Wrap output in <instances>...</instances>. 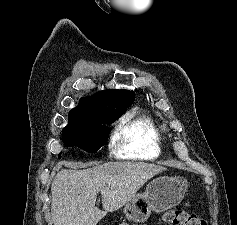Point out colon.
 <instances>
[{"label":"colon","instance_id":"colon-1","mask_svg":"<svg viewBox=\"0 0 237 225\" xmlns=\"http://www.w3.org/2000/svg\"><path fill=\"white\" fill-rule=\"evenodd\" d=\"M164 221L170 225H207L206 221L199 216L189 213L182 208H175L164 215ZM119 225H129L120 223Z\"/></svg>","mask_w":237,"mask_h":225}]
</instances>
